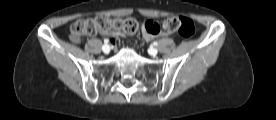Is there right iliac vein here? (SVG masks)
<instances>
[{
    "instance_id": "obj_1",
    "label": "right iliac vein",
    "mask_w": 276,
    "mask_h": 120,
    "mask_svg": "<svg viewBox=\"0 0 276 120\" xmlns=\"http://www.w3.org/2000/svg\"><path fill=\"white\" fill-rule=\"evenodd\" d=\"M102 50L105 54H108L110 52V47L108 44H105L102 46Z\"/></svg>"
}]
</instances>
